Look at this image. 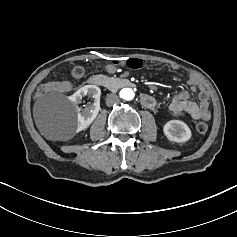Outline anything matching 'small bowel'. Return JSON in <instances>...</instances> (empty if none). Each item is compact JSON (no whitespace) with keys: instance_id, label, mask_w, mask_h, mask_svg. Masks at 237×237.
<instances>
[{"instance_id":"obj_1","label":"small bowel","mask_w":237,"mask_h":237,"mask_svg":"<svg viewBox=\"0 0 237 237\" xmlns=\"http://www.w3.org/2000/svg\"><path fill=\"white\" fill-rule=\"evenodd\" d=\"M117 69L118 66L113 64L106 66V70L110 73L115 72ZM172 69L178 70V67H172ZM188 84L191 91H198L199 102L191 100L189 91L183 90L170 100L167 105L168 110L174 116L188 115L195 120L203 119L208 121L211 113L209 110V94L207 90L192 74H189ZM49 85L52 91L68 92L71 90V85L67 81L51 82ZM140 102L148 109H155L161 104L157 98L145 93L140 95Z\"/></svg>"}]
</instances>
